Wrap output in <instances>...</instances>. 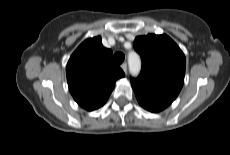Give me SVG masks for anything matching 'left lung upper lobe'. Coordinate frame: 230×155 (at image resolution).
I'll use <instances>...</instances> for the list:
<instances>
[{
    "instance_id": "left-lung-upper-lobe-1",
    "label": "left lung upper lobe",
    "mask_w": 230,
    "mask_h": 155,
    "mask_svg": "<svg viewBox=\"0 0 230 155\" xmlns=\"http://www.w3.org/2000/svg\"><path fill=\"white\" fill-rule=\"evenodd\" d=\"M134 49L142 59L140 75L131 78L137 100L168 107L184 83L185 55L165 34L139 36L134 41Z\"/></svg>"
}]
</instances>
